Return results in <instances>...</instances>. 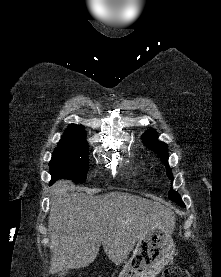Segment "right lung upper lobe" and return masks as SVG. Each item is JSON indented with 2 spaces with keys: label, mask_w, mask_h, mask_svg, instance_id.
Listing matches in <instances>:
<instances>
[{
  "label": "right lung upper lobe",
  "mask_w": 221,
  "mask_h": 277,
  "mask_svg": "<svg viewBox=\"0 0 221 277\" xmlns=\"http://www.w3.org/2000/svg\"><path fill=\"white\" fill-rule=\"evenodd\" d=\"M62 139H85V128L82 125L71 124L64 132Z\"/></svg>",
  "instance_id": "right-lung-upper-lobe-1"
}]
</instances>
